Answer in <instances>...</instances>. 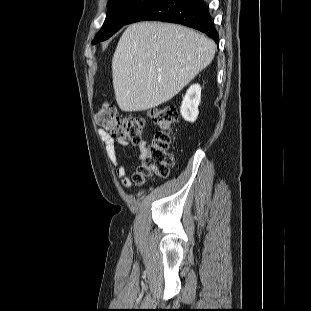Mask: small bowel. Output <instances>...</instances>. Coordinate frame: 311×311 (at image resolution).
Wrapping results in <instances>:
<instances>
[{"label":"small bowel","instance_id":"c3829d8e","mask_svg":"<svg viewBox=\"0 0 311 311\" xmlns=\"http://www.w3.org/2000/svg\"><path fill=\"white\" fill-rule=\"evenodd\" d=\"M98 136L105 145V152L109 161L113 164L116 171V176L121 180V184L125 188H129L134 183V175L128 174L127 168L124 164H120L118 161L117 145L127 146L129 142L123 138L119 137L114 139L109 133L103 129L98 130ZM139 149V159L142 160L147 152V145L145 141H141L137 144Z\"/></svg>","mask_w":311,"mask_h":311}]
</instances>
